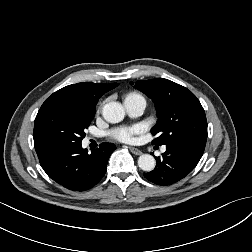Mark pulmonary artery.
Segmentation results:
<instances>
[{"label": "pulmonary artery", "mask_w": 252, "mask_h": 252, "mask_svg": "<svg viewBox=\"0 0 252 252\" xmlns=\"http://www.w3.org/2000/svg\"><path fill=\"white\" fill-rule=\"evenodd\" d=\"M124 107L130 116L137 117L143 114L146 108V101L142 96L132 94L124 99ZM165 150L166 148L163 147L162 151L164 152Z\"/></svg>", "instance_id": "obj_1"}]
</instances>
